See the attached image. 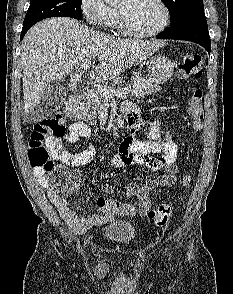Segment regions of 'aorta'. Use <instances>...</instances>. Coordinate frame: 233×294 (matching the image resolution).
I'll return each instance as SVG.
<instances>
[{
    "label": "aorta",
    "mask_w": 233,
    "mask_h": 294,
    "mask_svg": "<svg viewBox=\"0 0 233 294\" xmlns=\"http://www.w3.org/2000/svg\"><path fill=\"white\" fill-rule=\"evenodd\" d=\"M108 5H115L120 2V0H104Z\"/></svg>",
    "instance_id": "762f6f07"
}]
</instances>
